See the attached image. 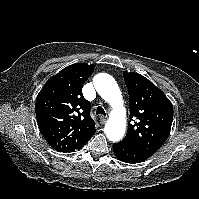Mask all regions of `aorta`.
Masks as SVG:
<instances>
[{"label":"aorta","instance_id":"1","mask_svg":"<svg viewBox=\"0 0 199 199\" xmlns=\"http://www.w3.org/2000/svg\"><path fill=\"white\" fill-rule=\"evenodd\" d=\"M93 83L98 94L113 107L105 125V134L110 141L117 142L123 138L126 129L125 108L120 89L114 78L106 73L97 74Z\"/></svg>","mask_w":199,"mask_h":199}]
</instances>
